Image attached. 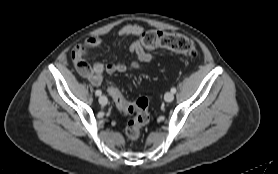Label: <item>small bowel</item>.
<instances>
[{"mask_svg":"<svg viewBox=\"0 0 278 174\" xmlns=\"http://www.w3.org/2000/svg\"><path fill=\"white\" fill-rule=\"evenodd\" d=\"M142 33L143 28L137 24H127L118 31V35L124 39L140 36ZM102 43L103 39L101 37H91L85 41L84 45L78 46L73 53L78 73L86 78L95 87H98L102 84L103 74L105 72L108 74H113L116 72L124 73L127 70H139L141 69L140 62H150L154 58L152 53L147 52L144 49L140 41H134L129 46V53L135 55L139 61H133L129 66H127L124 62H108L106 64L95 62L92 66L89 64H79L80 60L77 53L79 47L96 48Z\"/></svg>","mask_w":278,"mask_h":174,"instance_id":"1","label":"small bowel"}]
</instances>
